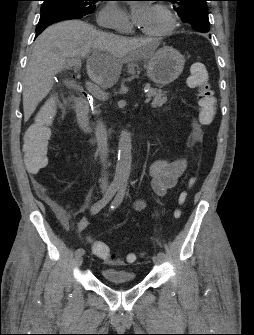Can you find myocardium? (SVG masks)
Returning <instances> with one entry per match:
<instances>
[{"label":"myocardium","instance_id":"obj_1","mask_svg":"<svg viewBox=\"0 0 254 335\" xmlns=\"http://www.w3.org/2000/svg\"><path fill=\"white\" fill-rule=\"evenodd\" d=\"M154 7L157 8L159 11H161L166 16V18L168 19V25L165 29L159 32L152 33V32H148L145 30H143L142 32L145 33L146 35L155 36V37L167 36L170 33H172L173 30L176 28L177 19L175 15L173 14V12L167 6L162 5V4H156Z\"/></svg>","mask_w":254,"mask_h":335}]
</instances>
